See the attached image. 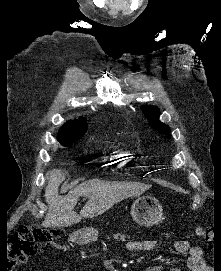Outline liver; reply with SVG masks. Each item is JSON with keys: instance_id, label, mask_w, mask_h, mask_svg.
Instances as JSON below:
<instances>
[{"instance_id": "6515ba94", "label": "liver", "mask_w": 221, "mask_h": 271, "mask_svg": "<svg viewBox=\"0 0 221 271\" xmlns=\"http://www.w3.org/2000/svg\"><path fill=\"white\" fill-rule=\"evenodd\" d=\"M46 175L48 183L44 197L48 203V213L44 217L43 227H68L79 223L82 217H97L124 197L144 191V187L131 183H108L100 179H89L77 185L67 195H60L59 187L65 179L64 173L61 169H52ZM79 195H86L88 201L77 213L74 207Z\"/></svg>"}]
</instances>
